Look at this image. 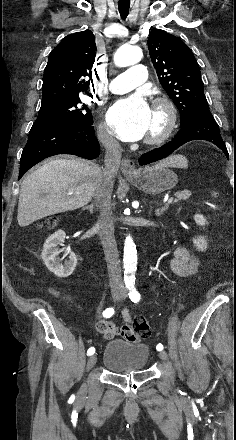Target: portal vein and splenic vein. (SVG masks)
<instances>
[{"mask_svg":"<svg viewBox=\"0 0 236 440\" xmlns=\"http://www.w3.org/2000/svg\"><path fill=\"white\" fill-rule=\"evenodd\" d=\"M172 201H173V197H170V198L168 199V203L170 204Z\"/></svg>","mask_w":236,"mask_h":440,"instance_id":"18ae733b","label":"portal vein and splenic vein"}]
</instances>
